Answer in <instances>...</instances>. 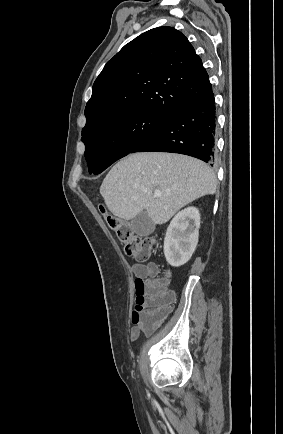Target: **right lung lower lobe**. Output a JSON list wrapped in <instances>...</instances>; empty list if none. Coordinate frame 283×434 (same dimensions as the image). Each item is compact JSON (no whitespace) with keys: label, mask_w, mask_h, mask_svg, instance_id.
<instances>
[{"label":"right lung lower lobe","mask_w":283,"mask_h":434,"mask_svg":"<svg viewBox=\"0 0 283 434\" xmlns=\"http://www.w3.org/2000/svg\"><path fill=\"white\" fill-rule=\"evenodd\" d=\"M215 135V104L211 91L172 115L131 153L171 152L213 162Z\"/></svg>","instance_id":"1"}]
</instances>
